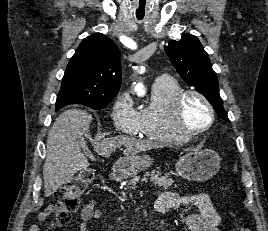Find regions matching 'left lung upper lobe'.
Here are the masks:
<instances>
[{
  "label": "left lung upper lobe",
  "mask_w": 268,
  "mask_h": 231,
  "mask_svg": "<svg viewBox=\"0 0 268 231\" xmlns=\"http://www.w3.org/2000/svg\"><path fill=\"white\" fill-rule=\"evenodd\" d=\"M165 52L181 78L202 93L222 119L229 121L219 94L216 73L199 39L184 34L179 41H169Z\"/></svg>",
  "instance_id": "1"
}]
</instances>
